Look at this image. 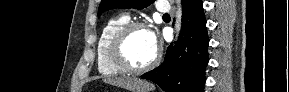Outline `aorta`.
<instances>
[{"mask_svg":"<svg viewBox=\"0 0 289 92\" xmlns=\"http://www.w3.org/2000/svg\"><path fill=\"white\" fill-rule=\"evenodd\" d=\"M178 20H177V29L179 30L180 29V22H181V11L179 10L178 12V16H177Z\"/></svg>","mask_w":289,"mask_h":92,"instance_id":"1","label":"aorta"}]
</instances>
